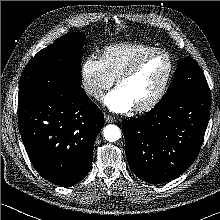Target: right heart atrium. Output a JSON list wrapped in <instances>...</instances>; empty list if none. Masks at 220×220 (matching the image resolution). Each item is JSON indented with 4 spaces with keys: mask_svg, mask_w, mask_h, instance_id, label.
Returning a JSON list of instances; mask_svg holds the SVG:
<instances>
[{
    "mask_svg": "<svg viewBox=\"0 0 220 220\" xmlns=\"http://www.w3.org/2000/svg\"><path fill=\"white\" fill-rule=\"evenodd\" d=\"M81 85L84 92L94 100H101L104 92L110 88L114 79L106 71L101 59L88 56L80 68Z\"/></svg>",
    "mask_w": 220,
    "mask_h": 220,
    "instance_id": "right-heart-atrium-1",
    "label": "right heart atrium"
}]
</instances>
